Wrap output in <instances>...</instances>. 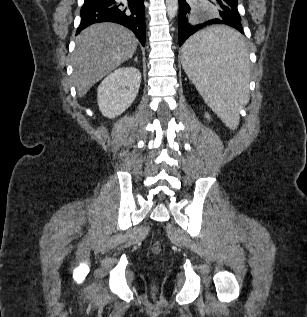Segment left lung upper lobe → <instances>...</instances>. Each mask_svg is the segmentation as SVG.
<instances>
[{
	"mask_svg": "<svg viewBox=\"0 0 307 317\" xmlns=\"http://www.w3.org/2000/svg\"><path fill=\"white\" fill-rule=\"evenodd\" d=\"M231 1H233L235 4H238V0H231Z\"/></svg>",
	"mask_w": 307,
	"mask_h": 317,
	"instance_id": "left-lung-upper-lobe-1",
	"label": "left lung upper lobe"
}]
</instances>
